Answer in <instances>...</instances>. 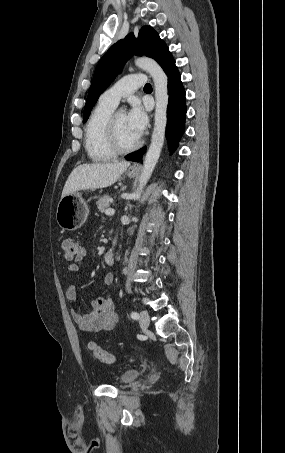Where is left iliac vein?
Wrapping results in <instances>:
<instances>
[{
  "label": "left iliac vein",
  "instance_id": "left-iliac-vein-1",
  "mask_svg": "<svg viewBox=\"0 0 285 453\" xmlns=\"http://www.w3.org/2000/svg\"><path fill=\"white\" fill-rule=\"evenodd\" d=\"M139 323L142 329H147L150 323L149 314L146 311L140 312Z\"/></svg>",
  "mask_w": 285,
  "mask_h": 453
}]
</instances>
